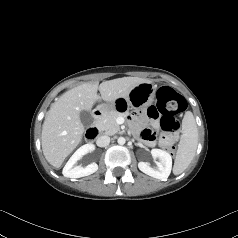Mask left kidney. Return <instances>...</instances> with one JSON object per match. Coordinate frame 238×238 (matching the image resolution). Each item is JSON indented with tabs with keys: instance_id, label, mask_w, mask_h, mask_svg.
I'll use <instances>...</instances> for the list:
<instances>
[{
	"instance_id": "left-kidney-1",
	"label": "left kidney",
	"mask_w": 238,
	"mask_h": 238,
	"mask_svg": "<svg viewBox=\"0 0 238 238\" xmlns=\"http://www.w3.org/2000/svg\"><path fill=\"white\" fill-rule=\"evenodd\" d=\"M152 157L158 159L157 166L152 168L147 162H139L138 168L145 174L160 179L165 180L171 173L172 169V158L171 155L161 149H152Z\"/></svg>"
}]
</instances>
